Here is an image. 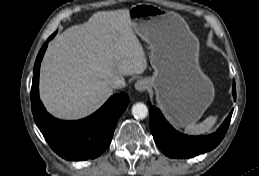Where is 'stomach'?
<instances>
[{
    "mask_svg": "<svg viewBox=\"0 0 259 176\" xmlns=\"http://www.w3.org/2000/svg\"><path fill=\"white\" fill-rule=\"evenodd\" d=\"M129 18L149 46L154 73L146 80L158 106L175 126L197 122L214 99L213 84L199 68L197 38L181 17L156 5H134Z\"/></svg>",
    "mask_w": 259,
    "mask_h": 176,
    "instance_id": "1",
    "label": "stomach"
}]
</instances>
